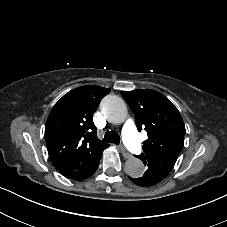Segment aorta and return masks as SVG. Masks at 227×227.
<instances>
[{"label":"aorta","mask_w":227,"mask_h":227,"mask_svg":"<svg viewBox=\"0 0 227 227\" xmlns=\"http://www.w3.org/2000/svg\"><path fill=\"white\" fill-rule=\"evenodd\" d=\"M103 116L111 123L120 124L125 121L128 115L125 102L118 96L108 95L100 104ZM126 173L133 178L143 176L145 167L143 162L138 158H130L125 163Z\"/></svg>","instance_id":"aorta-1"}]
</instances>
